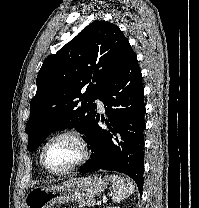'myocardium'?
<instances>
[{"instance_id":"obj_1","label":"myocardium","mask_w":199,"mask_h":208,"mask_svg":"<svg viewBox=\"0 0 199 208\" xmlns=\"http://www.w3.org/2000/svg\"><path fill=\"white\" fill-rule=\"evenodd\" d=\"M62 137H70L73 140H75L80 148H81V156L80 158L74 162L72 165L63 168V169H53L51 168L46 160V149L48 147V145L55 139L58 138H62ZM91 154V150H90V146L87 142V140L85 139V137L78 131L76 130H64L61 132H58L54 135H52L43 145L42 150H41V162L43 164V166L45 167V169L52 173V174H57V175H63V174H67L70 173L72 171H74L75 169L79 168L80 166H82L90 157Z\"/></svg>"}]
</instances>
